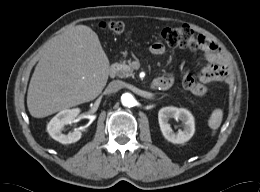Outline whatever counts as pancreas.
<instances>
[{
  "label": "pancreas",
  "mask_w": 260,
  "mask_h": 192,
  "mask_svg": "<svg viewBox=\"0 0 260 192\" xmlns=\"http://www.w3.org/2000/svg\"><path fill=\"white\" fill-rule=\"evenodd\" d=\"M115 67L116 75L119 78H127L129 76H133V70L130 66V61L128 62V64L125 61H123L122 63H116Z\"/></svg>",
  "instance_id": "1"
}]
</instances>
